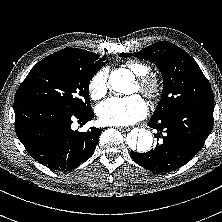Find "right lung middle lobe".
<instances>
[{
	"label": "right lung middle lobe",
	"instance_id": "right-lung-middle-lobe-1",
	"mask_svg": "<svg viewBox=\"0 0 222 222\" xmlns=\"http://www.w3.org/2000/svg\"><path fill=\"white\" fill-rule=\"evenodd\" d=\"M37 63L18 88L14 103L44 102L64 110L84 114L91 111L89 83L103 61Z\"/></svg>",
	"mask_w": 222,
	"mask_h": 222
}]
</instances>
